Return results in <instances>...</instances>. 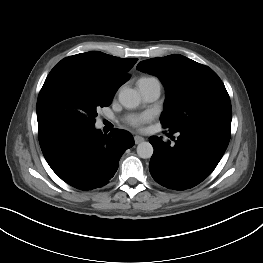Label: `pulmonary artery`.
Masks as SVG:
<instances>
[{"instance_id": "obj_1", "label": "pulmonary artery", "mask_w": 263, "mask_h": 263, "mask_svg": "<svg viewBox=\"0 0 263 263\" xmlns=\"http://www.w3.org/2000/svg\"><path fill=\"white\" fill-rule=\"evenodd\" d=\"M137 88L145 102L156 101L161 93V84L153 77L139 79L137 82Z\"/></svg>"}]
</instances>
